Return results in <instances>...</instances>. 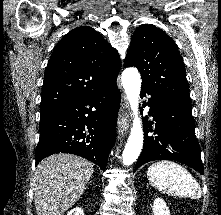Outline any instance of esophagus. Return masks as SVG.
<instances>
[{"instance_id":"34e87169","label":"esophagus","mask_w":221,"mask_h":215,"mask_svg":"<svg viewBox=\"0 0 221 215\" xmlns=\"http://www.w3.org/2000/svg\"><path fill=\"white\" fill-rule=\"evenodd\" d=\"M129 129V107L126 96L122 97L121 107L118 115V134L124 136Z\"/></svg>"}]
</instances>
